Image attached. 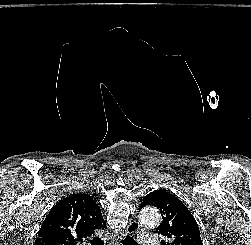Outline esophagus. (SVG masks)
<instances>
[{
    "label": "esophagus",
    "instance_id": "34e87169",
    "mask_svg": "<svg viewBox=\"0 0 251 245\" xmlns=\"http://www.w3.org/2000/svg\"><path fill=\"white\" fill-rule=\"evenodd\" d=\"M140 229V224L138 221L136 220H131L127 226L126 232L129 234H133L135 232H137ZM125 237L124 234H120L116 237V244L115 245H119V242Z\"/></svg>",
    "mask_w": 251,
    "mask_h": 245
}]
</instances>
